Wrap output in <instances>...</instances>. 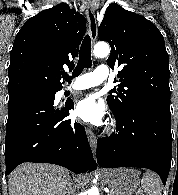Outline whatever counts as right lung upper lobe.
<instances>
[{"label":"right lung upper lobe","mask_w":178,"mask_h":195,"mask_svg":"<svg viewBox=\"0 0 178 195\" xmlns=\"http://www.w3.org/2000/svg\"><path fill=\"white\" fill-rule=\"evenodd\" d=\"M86 30L83 15L60 3L30 18L16 35L10 54L9 97L62 88L63 66L73 68Z\"/></svg>","instance_id":"cb5924a9"}]
</instances>
